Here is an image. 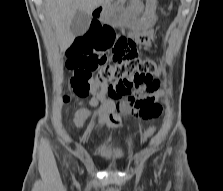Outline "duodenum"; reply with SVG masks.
Segmentation results:
<instances>
[{
    "label": "duodenum",
    "mask_w": 223,
    "mask_h": 191,
    "mask_svg": "<svg viewBox=\"0 0 223 191\" xmlns=\"http://www.w3.org/2000/svg\"><path fill=\"white\" fill-rule=\"evenodd\" d=\"M104 12V7L103 6H97L93 10V17L98 18L102 15Z\"/></svg>",
    "instance_id": "410a0bca"
}]
</instances>
